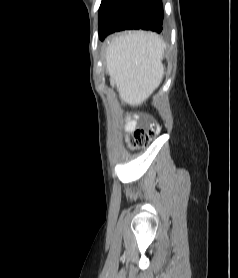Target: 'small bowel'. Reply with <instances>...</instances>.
<instances>
[{
	"label": "small bowel",
	"instance_id": "obj_1",
	"mask_svg": "<svg viewBox=\"0 0 238 278\" xmlns=\"http://www.w3.org/2000/svg\"><path fill=\"white\" fill-rule=\"evenodd\" d=\"M135 126V122L132 120L127 121L126 127L127 129H132Z\"/></svg>",
	"mask_w": 238,
	"mask_h": 278
}]
</instances>
